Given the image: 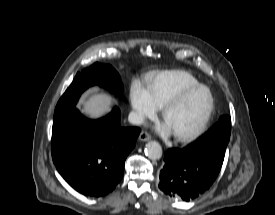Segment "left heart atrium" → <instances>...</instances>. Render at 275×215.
<instances>
[{
  "instance_id": "left-heart-atrium-1",
  "label": "left heart atrium",
  "mask_w": 275,
  "mask_h": 215,
  "mask_svg": "<svg viewBox=\"0 0 275 215\" xmlns=\"http://www.w3.org/2000/svg\"><path fill=\"white\" fill-rule=\"evenodd\" d=\"M161 130H162V132L165 133V134H170V133H171V130H170V128L167 126L166 123L162 126Z\"/></svg>"
}]
</instances>
